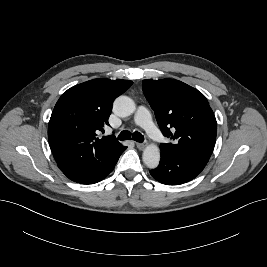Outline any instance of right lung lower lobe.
Here are the masks:
<instances>
[{
	"label": "right lung lower lobe",
	"instance_id": "obj_1",
	"mask_svg": "<svg viewBox=\"0 0 267 267\" xmlns=\"http://www.w3.org/2000/svg\"><path fill=\"white\" fill-rule=\"evenodd\" d=\"M121 146L113 154L92 164L57 163L60 170L72 181L81 184H94L109 175L117 163L120 155L126 149Z\"/></svg>",
	"mask_w": 267,
	"mask_h": 267
}]
</instances>
